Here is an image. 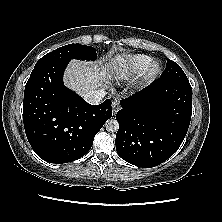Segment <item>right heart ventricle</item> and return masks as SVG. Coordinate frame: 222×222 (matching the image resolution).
I'll return each instance as SVG.
<instances>
[{"label": "right heart ventricle", "mask_w": 222, "mask_h": 222, "mask_svg": "<svg viewBox=\"0 0 222 222\" xmlns=\"http://www.w3.org/2000/svg\"><path fill=\"white\" fill-rule=\"evenodd\" d=\"M151 57L136 54L127 57L116 69V77L123 80L134 78L143 73L150 65Z\"/></svg>", "instance_id": "right-heart-ventricle-1"}]
</instances>
